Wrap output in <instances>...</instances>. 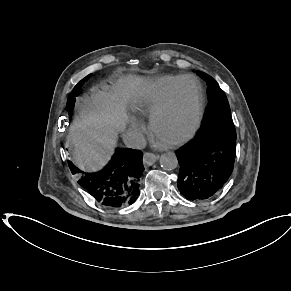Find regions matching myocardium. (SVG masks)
<instances>
[{
    "mask_svg": "<svg viewBox=\"0 0 291 291\" xmlns=\"http://www.w3.org/2000/svg\"><path fill=\"white\" fill-rule=\"evenodd\" d=\"M186 82H192L196 89L194 121L190 129L184 135L167 142L171 146H179L190 140L196 134L201 125L204 115V92L200 81L192 75L180 77L178 81L167 91L159 107L150 116V129L153 133H155V126L157 122L170 110L177 92Z\"/></svg>",
    "mask_w": 291,
    "mask_h": 291,
    "instance_id": "1",
    "label": "myocardium"
}]
</instances>
